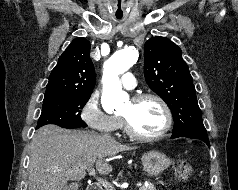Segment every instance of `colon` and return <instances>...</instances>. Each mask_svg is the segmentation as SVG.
Instances as JSON below:
<instances>
[{"mask_svg": "<svg viewBox=\"0 0 238 190\" xmlns=\"http://www.w3.org/2000/svg\"><path fill=\"white\" fill-rule=\"evenodd\" d=\"M173 170L175 177L181 182L187 181L194 172L192 165L182 159H178L173 163Z\"/></svg>", "mask_w": 238, "mask_h": 190, "instance_id": "colon-1", "label": "colon"}]
</instances>
